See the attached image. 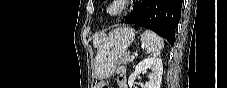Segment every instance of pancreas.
<instances>
[{"label":"pancreas","instance_id":"pancreas-1","mask_svg":"<svg viewBox=\"0 0 227 88\" xmlns=\"http://www.w3.org/2000/svg\"><path fill=\"white\" fill-rule=\"evenodd\" d=\"M119 62H120L121 64H127V63H131V62H132V59H131L128 55H126V56H124L123 58H121V59L119 60Z\"/></svg>","mask_w":227,"mask_h":88}]
</instances>
